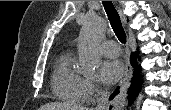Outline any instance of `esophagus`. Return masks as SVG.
Returning a JSON list of instances; mask_svg holds the SVG:
<instances>
[{"mask_svg": "<svg viewBox=\"0 0 171 110\" xmlns=\"http://www.w3.org/2000/svg\"><path fill=\"white\" fill-rule=\"evenodd\" d=\"M119 13L121 15V19L123 23L126 22L124 15L122 14L121 10L119 9ZM133 75V69L129 61L126 62L125 65V74L124 78L121 82V92L118 96H116L113 101L111 102V105L113 107V110H120L124 104H125V99H126V92L127 88L130 85V81Z\"/></svg>", "mask_w": 171, "mask_h": 110, "instance_id": "34e87169", "label": "esophagus"}]
</instances>
